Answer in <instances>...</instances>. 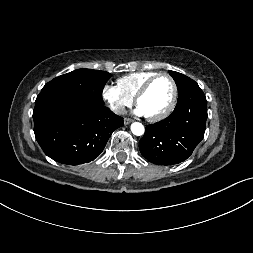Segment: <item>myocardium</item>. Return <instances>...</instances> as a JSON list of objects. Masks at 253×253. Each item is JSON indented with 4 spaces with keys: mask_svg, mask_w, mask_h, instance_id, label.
Segmentation results:
<instances>
[{
    "mask_svg": "<svg viewBox=\"0 0 253 253\" xmlns=\"http://www.w3.org/2000/svg\"><path fill=\"white\" fill-rule=\"evenodd\" d=\"M161 77H166L169 79V81L171 82L172 85V98L170 101V104L168 105V107L161 112L158 115L155 116H146L147 120L150 122H158L161 121L163 119H165L166 117H168L173 110L175 109V106L177 104V99H178V87H177V83L175 81V79L168 73H158L155 76H153L152 78H150L140 89L139 91L136 93L135 97H134V103L136 106H138V102L139 100L147 93V91L149 90V88L151 87V85L159 78Z\"/></svg>",
    "mask_w": 253,
    "mask_h": 253,
    "instance_id": "f54148a6",
    "label": "myocardium"
}]
</instances>
